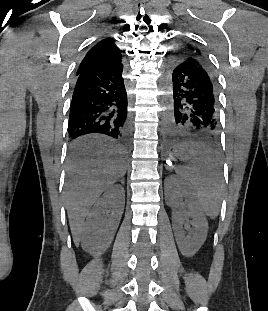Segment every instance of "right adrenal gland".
I'll list each match as a JSON object with an SVG mask.
<instances>
[{"label":"right adrenal gland","mask_w":268,"mask_h":311,"mask_svg":"<svg viewBox=\"0 0 268 311\" xmlns=\"http://www.w3.org/2000/svg\"><path fill=\"white\" fill-rule=\"evenodd\" d=\"M120 181H121V183L124 185V179L122 178Z\"/></svg>","instance_id":"1"}]
</instances>
